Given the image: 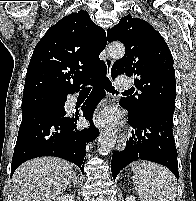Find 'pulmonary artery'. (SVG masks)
I'll return each mask as SVG.
<instances>
[{
    "label": "pulmonary artery",
    "mask_w": 196,
    "mask_h": 201,
    "mask_svg": "<svg viewBox=\"0 0 196 201\" xmlns=\"http://www.w3.org/2000/svg\"><path fill=\"white\" fill-rule=\"evenodd\" d=\"M131 80L127 77H120L115 81V87L118 89H128L131 87Z\"/></svg>",
    "instance_id": "pulmonary-artery-1"
}]
</instances>
